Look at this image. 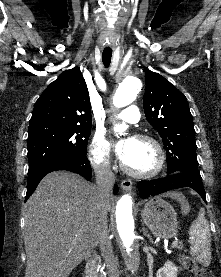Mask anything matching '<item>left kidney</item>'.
<instances>
[{
    "instance_id": "left-kidney-1",
    "label": "left kidney",
    "mask_w": 221,
    "mask_h": 277,
    "mask_svg": "<svg viewBox=\"0 0 221 277\" xmlns=\"http://www.w3.org/2000/svg\"><path fill=\"white\" fill-rule=\"evenodd\" d=\"M177 273V266L168 260L165 265L157 271L156 277H177Z\"/></svg>"
}]
</instances>
